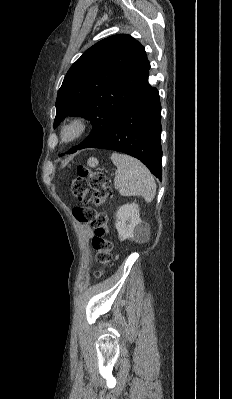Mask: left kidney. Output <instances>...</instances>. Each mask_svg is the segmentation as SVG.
<instances>
[{
	"label": "left kidney",
	"mask_w": 232,
	"mask_h": 399,
	"mask_svg": "<svg viewBox=\"0 0 232 399\" xmlns=\"http://www.w3.org/2000/svg\"><path fill=\"white\" fill-rule=\"evenodd\" d=\"M115 227L118 231L119 239H141L148 231L147 223L140 217L137 203H125L117 211Z\"/></svg>",
	"instance_id": "1"
}]
</instances>
